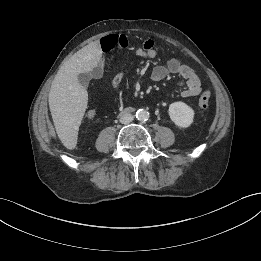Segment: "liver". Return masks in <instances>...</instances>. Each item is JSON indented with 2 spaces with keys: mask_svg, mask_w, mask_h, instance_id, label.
I'll list each match as a JSON object with an SVG mask.
<instances>
[{
  "mask_svg": "<svg viewBox=\"0 0 261 261\" xmlns=\"http://www.w3.org/2000/svg\"><path fill=\"white\" fill-rule=\"evenodd\" d=\"M99 41L75 53L59 70L49 92V108L58 137L64 144L75 141L88 103V93L78 75L95 68L101 57Z\"/></svg>",
  "mask_w": 261,
  "mask_h": 261,
  "instance_id": "obj_1",
  "label": "liver"
}]
</instances>
